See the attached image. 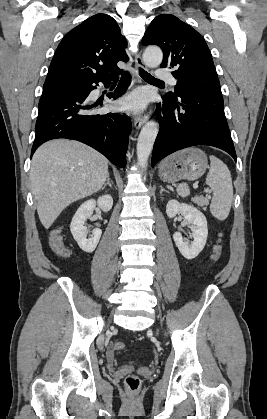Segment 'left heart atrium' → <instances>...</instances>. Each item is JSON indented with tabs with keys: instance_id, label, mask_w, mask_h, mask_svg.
I'll list each match as a JSON object with an SVG mask.
<instances>
[{
	"instance_id": "left-heart-atrium-1",
	"label": "left heart atrium",
	"mask_w": 267,
	"mask_h": 419,
	"mask_svg": "<svg viewBox=\"0 0 267 419\" xmlns=\"http://www.w3.org/2000/svg\"><path fill=\"white\" fill-rule=\"evenodd\" d=\"M147 104V95L143 91H136L119 102V107L126 110L140 111Z\"/></svg>"
}]
</instances>
